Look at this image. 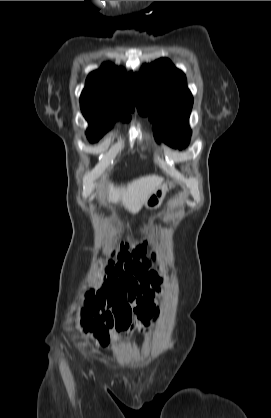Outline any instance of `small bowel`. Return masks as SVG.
I'll list each match as a JSON object with an SVG mask.
<instances>
[{
  "instance_id": "1",
  "label": "small bowel",
  "mask_w": 271,
  "mask_h": 418,
  "mask_svg": "<svg viewBox=\"0 0 271 418\" xmlns=\"http://www.w3.org/2000/svg\"><path fill=\"white\" fill-rule=\"evenodd\" d=\"M161 258V251L153 249L149 256H142L138 260L110 263L105 269V282L96 297L93 293L87 295L96 298L86 304L88 315L106 327L119 326L120 332L131 321L134 323L132 331L156 321L158 310L155 298L162 283L156 269ZM105 306L107 312L103 311ZM116 314H119L118 320L114 321Z\"/></svg>"
}]
</instances>
